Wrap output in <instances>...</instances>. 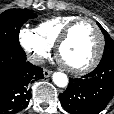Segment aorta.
Returning <instances> with one entry per match:
<instances>
[{
    "instance_id": "obj_1",
    "label": "aorta",
    "mask_w": 114,
    "mask_h": 114,
    "mask_svg": "<svg viewBox=\"0 0 114 114\" xmlns=\"http://www.w3.org/2000/svg\"><path fill=\"white\" fill-rule=\"evenodd\" d=\"M53 82L58 86V87H66L68 85V78L67 75L62 73V72H55L53 74Z\"/></svg>"
}]
</instances>
